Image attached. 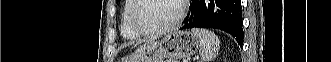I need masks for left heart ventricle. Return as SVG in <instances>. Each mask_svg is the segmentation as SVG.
<instances>
[{"instance_id":"left-heart-ventricle-1","label":"left heart ventricle","mask_w":331,"mask_h":62,"mask_svg":"<svg viewBox=\"0 0 331 62\" xmlns=\"http://www.w3.org/2000/svg\"><path fill=\"white\" fill-rule=\"evenodd\" d=\"M178 12L175 0H145L137 13V19L143 27L156 29L172 23Z\"/></svg>"}]
</instances>
